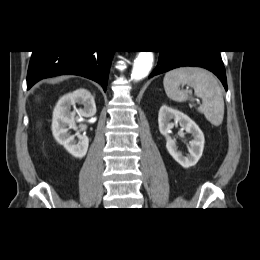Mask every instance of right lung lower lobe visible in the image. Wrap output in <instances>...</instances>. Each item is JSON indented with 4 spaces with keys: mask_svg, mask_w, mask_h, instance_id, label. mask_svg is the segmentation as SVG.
Instances as JSON below:
<instances>
[{
    "mask_svg": "<svg viewBox=\"0 0 260 260\" xmlns=\"http://www.w3.org/2000/svg\"><path fill=\"white\" fill-rule=\"evenodd\" d=\"M114 51H33L27 73V89L39 80L63 74L89 78L106 91Z\"/></svg>",
    "mask_w": 260,
    "mask_h": 260,
    "instance_id": "right-lung-lower-lobe-1",
    "label": "right lung lower lobe"
}]
</instances>
